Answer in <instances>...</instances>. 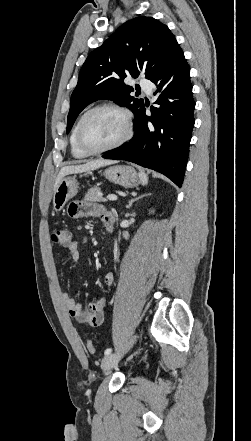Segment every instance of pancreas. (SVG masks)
<instances>
[{
	"label": "pancreas",
	"instance_id": "obj_1",
	"mask_svg": "<svg viewBox=\"0 0 251 441\" xmlns=\"http://www.w3.org/2000/svg\"><path fill=\"white\" fill-rule=\"evenodd\" d=\"M101 190L99 187L90 188L85 194V200L91 202H105L107 199L100 196Z\"/></svg>",
	"mask_w": 251,
	"mask_h": 441
}]
</instances>
